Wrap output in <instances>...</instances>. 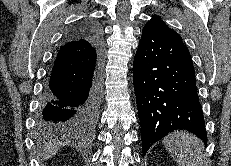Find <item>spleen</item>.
Masks as SVG:
<instances>
[{
    "instance_id": "1",
    "label": "spleen",
    "mask_w": 231,
    "mask_h": 166,
    "mask_svg": "<svg viewBox=\"0 0 231 166\" xmlns=\"http://www.w3.org/2000/svg\"><path fill=\"white\" fill-rule=\"evenodd\" d=\"M163 143L178 166H205V155L198 138L186 131L168 134Z\"/></svg>"
}]
</instances>
